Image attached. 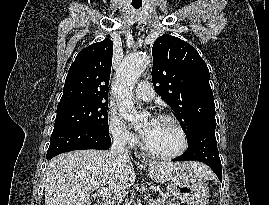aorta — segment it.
<instances>
[{
    "instance_id": "762f6f07",
    "label": "aorta",
    "mask_w": 269,
    "mask_h": 205,
    "mask_svg": "<svg viewBox=\"0 0 269 205\" xmlns=\"http://www.w3.org/2000/svg\"><path fill=\"white\" fill-rule=\"evenodd\" d=\"M148 63L149 56L145 53L130 54L124 58L116 74L113 89L118 101L119 113L125 120L137 121L139 119L131 93Z\"/></svg>"
}]
</instances>
